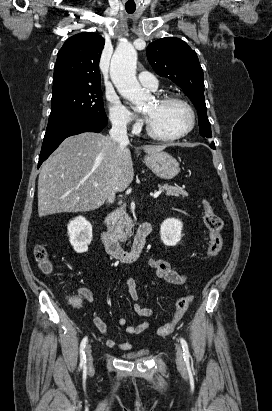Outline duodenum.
<instances>
[{
	"mask_svg": "<svg viewBox=\"0 0 272 411\" xmlns=\"http://www.w3.org/2000/svg\"><path fill=\"white\" fill-rule=\"evenodd\" d=\"M152 225L149 222L143 223L133 240L131 249L128 251L123 250L118 240L110 233L100 230L99 238L104 245L106 251L115 259L120 260L123 263H130L135 261L146 246L147 237L152 232Z\"/></svg>",
	"mask_w": 272,
	"mask_h": 411,
	"instance_id": "obj_1",
	"label": "duodenum"
}]
</instances>
